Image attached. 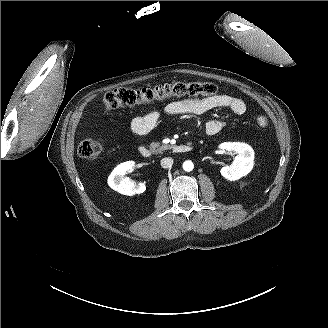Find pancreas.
Here are the masks:
<instances>
[{
	"mask_svg": "<svg viewBox=\"0 0 328 328\" xmlns=\"http://www.w3.org/2000/svg\"><path fill=\"white\" fill-rule=\"evenodd\" d=\"M150 147L152 150H157L158 152H162L164 150H168V149H171L172 146L171 145H160L159 142H153L150 144Z\"/></svg>",
	"mask_w": 328,
	"mask_h": 328,
	"instance_id": "1",
	"label": "pancreas"
}]
</instances>
